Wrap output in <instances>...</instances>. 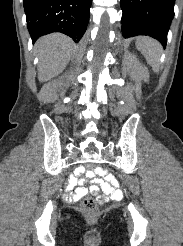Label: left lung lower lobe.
<instances>
[{"label":"left lung lower lobe","mask_w":183,"mask_h":246,"mask_svg":"<svg viewBox=\"0 0 183 246\" xmlns=\"http://www.w3.org/2000/svg\"><path fill=\"white\" fill-rule=\"evenodd\" d=\"M174 3L175 0H121L123 37L149 35L165 47Z\"/></svg>","instance_id":"0a47b994"}]
</instances>
